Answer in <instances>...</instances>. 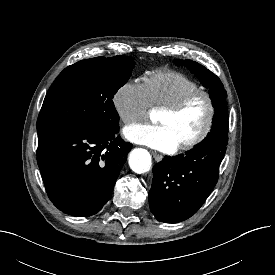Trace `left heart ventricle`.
Wrapping results in <instances>:
<instances>
[{"mask_svg": "<svg viewBox=\"0 0 275 275\" xmlns=\"http://www.w3.org/2000/svg\"><path fill=\"white\" fill-rule=\"evenodd\" d=\"M207 112L206 100L203 97H198L178 114L160 111L156 121L166 125L178 144H181L192 139L202 130L207 119Z\"/></svg>", "mask_w": 275, "mask_h": 275, "instance_id": "left-heart-ventricle-1", "label": "left heart ventricle"}]
</instances>
